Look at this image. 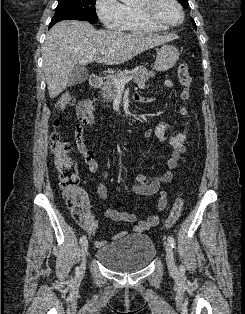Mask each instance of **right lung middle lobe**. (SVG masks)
I'll return each mask as SVG.
<instances>
[{
    "label": "right lung middle lobe",
    "instance_id": "obj_1",
    "mask_svg": "<svg viewBox=\"0 0 245 314\" xmlns=\"http://www.w3.org/2000/svg\"><path fill=\"white\" fill-rule=\"evenodd\" d=\"M96 0H59L51 24L61 20H97Z\"/></svg>",
    "mask_w": 245,
    "mask_h": 314
}]
</instances>
